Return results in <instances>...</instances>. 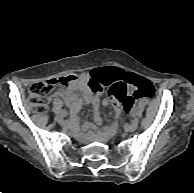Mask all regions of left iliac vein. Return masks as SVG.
<instances>
[{
  "label": "left iliac vein",
  "mask_w": 194,
  "mask_h": 193,
  "mask_svg": "<svg viewBox=\"0 0 194 193\" xmlns=\"http://www.w3.org/2000/svg\"><path fill=\"white\" fill-rule=\"evenodd\" d=\"M131 115H132L133 117L136 116V115H137L136 111L133 110L132 113H131ZM138 123H139L138 118H134L133 121L131 122V124H130V125L128 126V128H127L128 132H133V131H135V130L137 129V127H138Z\"/></svg>",
  "instance_id": "left-iliac-vein-1"
}]
</instances>
